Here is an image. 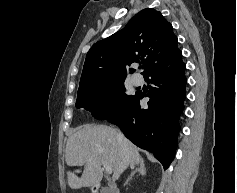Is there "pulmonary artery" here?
<instances>
[{"label":"pulmonary artery","instance_id":"obj_1","mask_svg":"<svg viewBox=\"0 0 237 193\" xmlns=\"http://www.w3.org/2000/svg\"><path fill=\"white\" fill-rule=\"evenodd\" d=\"M131 81L134 85H141L143 82V78L140 75H133L131 76Z\"/></svg>","mask_w":237,"mask_h":193}]
</instances>
